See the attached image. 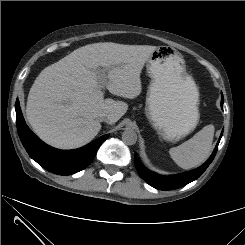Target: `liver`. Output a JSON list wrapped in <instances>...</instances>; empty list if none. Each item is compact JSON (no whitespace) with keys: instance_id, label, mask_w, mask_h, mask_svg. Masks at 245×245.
<instances>
[{"instance_id":"1","label":"liver","mask_w":245,"mask_h":245,"mask_svg":"<svg viewBox=\"0 0 245 245\" xmlns=\"http://www.w3.org/2000/svg\"><path fill=\"white\" fill-rule=\"evenodd\" d=\"M156 46L99 42L80 47L44 68L27 99L26 117L47 144L75 149L99 133V118L116 123L128 105L104 99L98 68L107 70L106 88L116 96L134 99L142 91L141 72Z\"/></svg>"}]
</instances>
